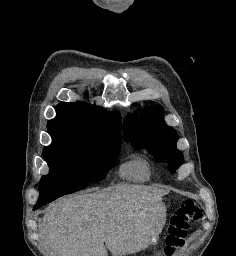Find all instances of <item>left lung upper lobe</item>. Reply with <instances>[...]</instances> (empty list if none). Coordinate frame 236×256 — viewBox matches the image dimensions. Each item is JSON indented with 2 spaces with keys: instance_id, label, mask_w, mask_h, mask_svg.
<instances>
[{
  "instance_id": "5c2ea615",
  "label": "left lung upper lobe",
  "mask_w": 236,
  "mask_h": 256,
  "mask_svg": "<svg viewBox=\"0 0 236 256\" xmlns=\"http://www.w3.org/2000/svg\"><path fill=\"white\" fill-rule=\"evenodd\" d=\"M161 106L144 108L140 117L129 115L124 122V139L136 149H147L155 158L169 162V170L175 173L183 163V155L176 148L177 132L166 125Z\"/></svg>"
}]
</instances>
